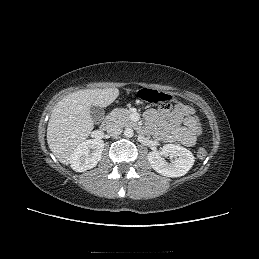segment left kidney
Segmentation results:
<instances>
[{
  "instance_id": "obj_1",
  "label": "left kidney",
  "mask_w": 259,
  "mask_h": 259,
  "mask_svg": "<svg viewBox=\"0 0 259 259\" xmlns=\"http://www.w3.org/2000/svg\"><path fill=\"white\" fill-rule=\"evenodd\" d=\"M166 156H175L176 160L168 163L164 158ZM147 158L152 168L166 177L185 175L195 162L193 154L188 149L175 144H166L160 152H150Z\"/></svg>"
}]
</instances>
